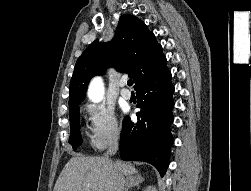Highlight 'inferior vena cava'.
I'll return each instance as SVG.
<instances>
[{
  "instance_id": "obj_1",
  "label": "inferior vena cava",
  "mask_w": 251,
  "mask_h": 191,
  "mask_svg": "<svg viewBox=\"0 0 251 191\" xmlns=\"http://www.w3.org/2000/svg\"><path fill=\"white\" fill-rule=\"evenodd\" d=\"M119 135H120V131H115L111 141H110V145L104 155L105 159H109L110 155H114V153H116L117 149H118V139H119ZM117 179L119 181V185H118V189L117 191H124V187H123V183H124V179L123 177H121V175H117Z\"/></svg>"
}]
</instances>
